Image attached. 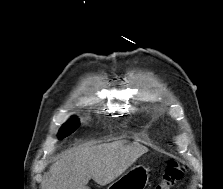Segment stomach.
I'll return each instance as SVG.
<instances>
[{"instance_id":"obj_1","label":"stomach","mask_w":223,"mask_h":189,"mask_svg":"<svg viewBox=\"0 0 223 189\" xmlns=\"http://www.w3.org/2000/svg\"><path fill=\"white\" fill-rule=\"evenodd\" d=\"M149 170L142 166H135L121 175L107 189H145L149 180Z\"/></svg>"}]
</instances>
